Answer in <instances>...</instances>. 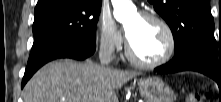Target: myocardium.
Returning a JSON list of instances; mask_svg holds the SVG:
<instances>
[{"mask_svg": "<svg viewBox=\"0 0 221 102\" xmlns=\"http://www.w3.org/2000/svg\"><path fill=\"white\" fill-rule=\"evenodd\" d=\"M139 15L144 19L155 21L163 28V30L166 33L167 40H168L167 50H166L165 54L161 58H159L158 60L145 61V60L141 59L135 53V51L133 50L131 43L128 39L126 42L127 57L129 58V60L132 63H134L140 67H143V68H156V67L162 66V65L166 64L172 58V56L175 52L176 39H175L174 32H173L171 26L168 24V22L163 17H161L160 15H158L156 13L149 12V11H143Z\"/></svg>", "mask_w": 221, "mask_h": 102, "instance_id": "obj_1", "label": "myocardium"}]
</instances>
